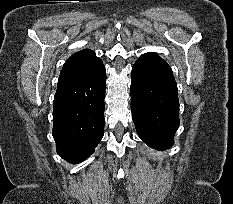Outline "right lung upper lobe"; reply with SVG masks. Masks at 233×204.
Listing matches in <instances>:
<instances>
[{
    "label": "right lung upper lobe",
    "mask_w": 233,
    "mask_h": 204,
    "mask_svg": "<svg viewBox=\"0 0 233 204\" xmlns=\"http://www.w3.org/2000/svg\"><path fill=\"white\" fill-rule=\"evenodd\" d=\"M101 59L89 49L74 53L65 63L58 81L63 87L91 76L101 65Z\"/></svg>",
    "instance_id": "1"
}]
</instances>
